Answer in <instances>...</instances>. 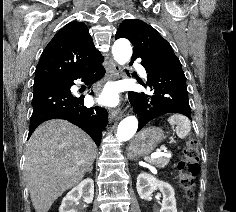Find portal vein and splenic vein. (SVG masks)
Wrapping results in <instances>:
<instances>
[{"label":"portal vein and splenic vein","mask_w":236,"mask_h":212,"mask_svg":"<svg viewBox=\"0 0 236 212\" xmlns=\"http://www.w3.org/2000/svg\"><path fill=\"white\" fill-rule=\"evenodd\" d=\"M165 152H167L166 147H162L161 149H158L156 152H154V153L151 155V158H156V157L165 155Z\"/></svg>","instance_id":"obj_1"}]
</instances>
